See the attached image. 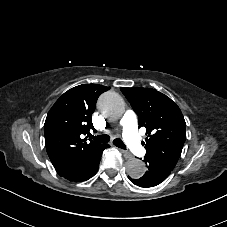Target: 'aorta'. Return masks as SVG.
<instances>
[{"instance_id":"1","label":"aorta","mask_w":227,"mask_h":227,"mask_svg":"<svg viewBox=\"0 0 227 227\" xmlns=\"http://www.w3.org/2000/svg\"><path fill=\"white\" fill-rule=\"evenodd\" d=\"M99 111L107 118L121 116L125 111V102L116 92L108 91L102 94L97 103ZM127 174L131 178H140L145 174V164L137 158L130 159L126 164Z\"/></svg>"}]
</instances>
